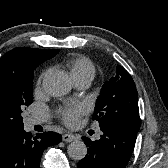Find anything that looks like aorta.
I'll list each match as a JSON object with an SVG mask.
<instances>
[{
    "instance_id": "762f6f07",
    "label": "aorta",
    "mask_w": 168,
    "mask_h": 168,
    "mask_svg": "<svg viewBox=\"0 0 168 168\" xmlns=\"http://www.w3.org/2000/svg\"><path fill=\"white\" fill-rule=\"evenodd\" d=\"M44 90L53 97L66 95L72 88L70 76L64 71H53L43 79ZM70 158L82 160L87 154V147L83 141L75 140L67 147Z\"/></svg>"
}]
</instances>
